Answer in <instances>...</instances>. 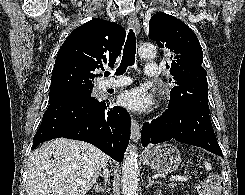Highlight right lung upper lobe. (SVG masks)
<instances>
[{
  "label": "right lung upper lobe",
  "instance_id": "cb5924a9",
  "mask_svg": "<svg viewBox=\"0 0 245 195\" xmlns=\"http://www.w3.org/2000/svg\"><path fill=\"white\" fill-rule=\"evenodd\" d=\"M125 41V29L113 22L93 19L76 28L61 46L51 78L50 94L92 87L96 69L114 66Z\"/></svg>",
  "mask_w": 245,
  "mask_h": 195
}]
</instances>
